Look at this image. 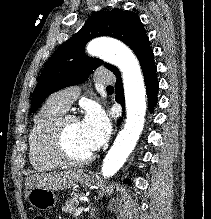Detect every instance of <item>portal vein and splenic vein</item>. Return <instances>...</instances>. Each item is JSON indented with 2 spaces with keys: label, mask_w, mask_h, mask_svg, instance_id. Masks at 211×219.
I'll return each mask as SVG.
<instances>
[{
  "label": "portal vein and splenic vein",
  "mask_w": 211,
  "mask_h": 219,
  "mask_svg": "<svg viewBox=\"0 0 211 219\" xmlns=\"http://www.w3.org/2000/svg\"><path fill=\"white\" fill-rule=\"evenodd\" d=\"M84 207H79L78 209H76L75 210V212H74V216L76 217V216H79L83 211H84Z\"/></svg>",
  "instance_id": "18ae733b"
}]
</instances>
